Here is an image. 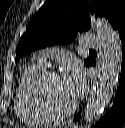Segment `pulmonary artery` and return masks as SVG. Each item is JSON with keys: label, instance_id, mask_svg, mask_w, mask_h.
Masks as SVG:
<instances>
[{"label": "pulmonary artery", "instance_id": "obj_1", "mask_svg": "<svg viewBox=\"0 0 125 128\" xmlns=\"http://www.w3.org/2000/svg\"><path fill=\"white\" fill-rule=\"evenodd\" d=\"M81 42L84 48H97L100 46L101 40L94 34H85L81 37ZM51 54V50H46L37 55L35 61L39 64H43Z\"/></svg>", "mask_w": 125, "mask_h": 128}]
</instances>
